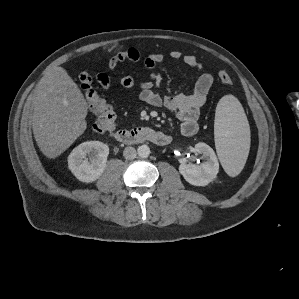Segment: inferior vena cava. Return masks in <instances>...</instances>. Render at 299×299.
Returning a JSON list of instances; mask_svg holds the SVG:
<instances>
[{"instance_id":"inferior-vena-cava-1","label":"inferior vena cava","mask_w":299,"mask_h":299,"mask_svg":"<svg viewBox=\"0 0 299 299\" xmlns=\"http://www.w3.org/2000/svg\"><path fill=\"white\" fill-rule=\"evenodd\" d=\"M137 152L134 147L128 146L123 151V156L125 159L132 160L136 158Z\"/></svg>"}]
</instances>
